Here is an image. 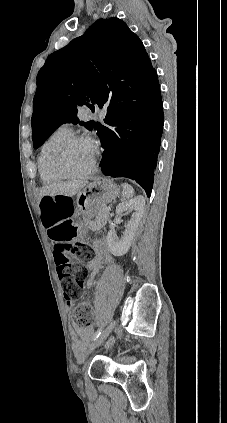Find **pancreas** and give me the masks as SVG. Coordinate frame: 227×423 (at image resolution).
<instances>
[{
  "label": "pancreas",
  "instance_id": "cf45deb5",
  "mask_svg": "<svg viewBox=\"0 0 227 423\" xmlns=\"http://www.w3.org/2000/svg\"><path fill=\"white\" fill-rule=\"evenodd\" d=\"M105 208L106 204L97 208L98 211H96V219H94V221H91L88 217H83L82 223L84 227H88V229H100L102 225H105L108 219V211H106Z\"/></svg>",
  "mask_w": 227,
  "mask_h": 423
}]
</instances>
